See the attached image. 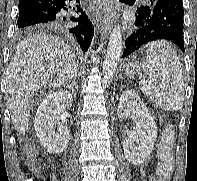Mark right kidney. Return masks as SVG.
<instances>
[{
  "label": "right kidney",
  "mask_w": 197,
  "mask_h": 181,
  "mask_svg": "<svg viewBox=\"0 0 197 181\" xmlns=\"http://www.w3.org/2000/svg\"><path fill=\"white\" fill-rule=\"evenodd\" d=\"M72 102V95L68 91L59 90L47 95L38 107L34 128L49 153H62L68 145L70 131L61 114L71 108Z\"/></svg>",
  "instance_id": "obj_1"
}]
</instances>
